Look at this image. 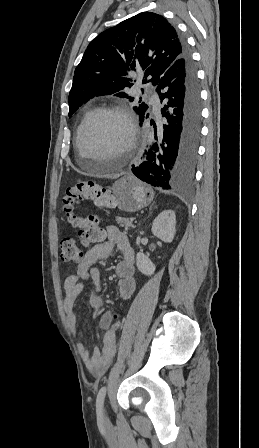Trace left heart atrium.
<instances>
[{
  "label": "left heart atrium",
  "instance_id": "1",
  "mask_svg": "<svg viewBox=\"0 0 259 448\" xmlns=\"http://www.w3.org/2000/svg\"><path fill=\"white\" fill-rule=\"evenodd\" d=\"M146 157H147L148 160H152L153 159V152L148 150L146 152Z\"/></svg>",
  "mask_w": 259,
  "mask_h": 448
}]
</instances>
